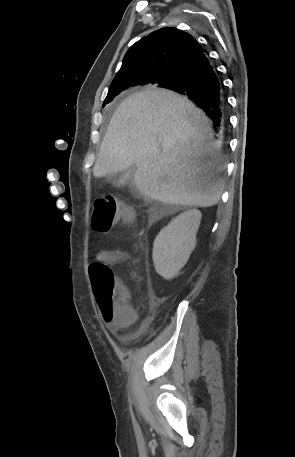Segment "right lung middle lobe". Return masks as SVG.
Segmentation results:
<instances>
[{"label": "right lung middle lobe", "instance_id": "right-lung-middle-lobe-1", "mask_svg": "<svg viewBox=\"0 0 295 457\" xmlns=\"http://www.w3.org/2000/svg\"><path fill=\"white\" fill-rule=\"evenodd\" d=\"M136 85L137 84H119V85H115L114 87H110L103 106L105 104L111 102L113 100V98L115 96H117L119 93H121V91H123L124 89L131 87V86H136ZM142 85H144V84H142Z\"/></svg>", "mask_w": 295, "mask_h": 457}]
</instances>
